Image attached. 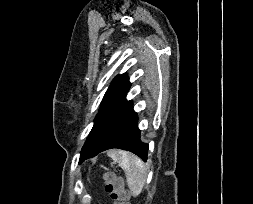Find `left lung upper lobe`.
<instances>
[{
  "mask_svg": "<svg viewBox=\"0 0 253 204\" xmlns=\"http://www.w3.org/2000/svg\"><path fill=\"white\" fill-rule=\"evenodd\" d=\"M130 82L125 74L118 75L111 82L104 98L101 102V107L97 115L102 112L112 108L123 99H125L126 94L130 88Z\"/></svg>",
  "mask_w": 253,
  "mask_h": 204,
  "instance_id": "1",
  "label": "left lung upper lobe"
}]
</instances>
